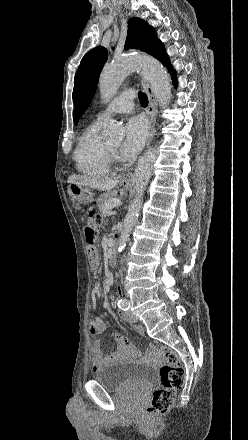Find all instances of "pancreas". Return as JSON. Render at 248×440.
<instances>
[{"mask_svg":"<svg viewBox=\"0 0 248 440\" xmlns=\"http://www.w3.org/2000/svg\"><path fill=\"white\" fill-rule=\"evenodd\" d=\"M111 199L113 198L110 193H104L98 197L97 199L98 207L102 212L106 211V206Z\"/></svg>","mask_w":248,"mask_h":440,"instance_id":"cf45deb5","label":"pancreas"}]
</instances>
